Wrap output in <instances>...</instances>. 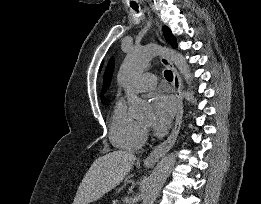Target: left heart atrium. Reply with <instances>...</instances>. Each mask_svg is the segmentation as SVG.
<instances>
[{
  "mask_svg": "<svg viewBox=\"0 0 261 204\" xmlns=\"http://www.w3.org/2000/svg\"><path fill=\"white\" fill-rule=\"evenodd\" d=\"M175 104L171 97L156 94L152 100L151 124L159 131L166 130L174 116Z\"/></svg>",
  "mask_w": 261,
  "mask_h": 204,
  "instance_id": "left-heart-atrium-1",
  "label": "left heart atrium"
}]
</instances>
